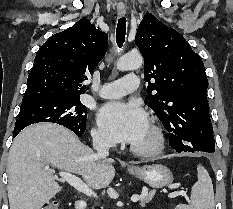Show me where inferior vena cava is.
<instances>
[{"mask_svg": "<svg viewBox=\"0 0 233 209\" xmlns=\"http://www.w3.org/2000/svg\"><path fill=\"white\" fill-rule=\"evenodd\" d=\"M112 146V142L106 140L101 136L93 137V148L97 151L100 157H106L109 155V149Z\"/></svg>", "mask_w": 233, "mask_h": 209, "instance_id": "602c4592", "label": "inferior vena cava"}]
</instances>
